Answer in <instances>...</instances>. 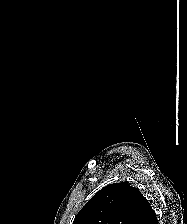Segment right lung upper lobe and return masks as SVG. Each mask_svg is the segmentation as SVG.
Returning <instances> with one entry per match:
<instances>
[{
  "label": "right lung upper lobe",
  "instance_id": "right-lung-upper-lobe-1",
  "mask_svg": "<svg viewBox=\"0 0 187 224\" xmlns=\"http://www.w3.org/2000/svg\"><path fill=\"white\" fill-rule=\"evenodd\" d=\"M73 224H158L155 212L137 188L114 183L99 190Z\"/></svg>",
  "mask_w": 187,
  "mask_h": 224
}]
</instances>
